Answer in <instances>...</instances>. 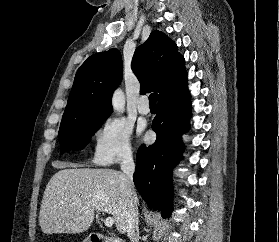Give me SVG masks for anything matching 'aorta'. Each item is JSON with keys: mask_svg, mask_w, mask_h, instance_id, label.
I'll return each mask as SVG.
<instances>
[{"mask_svg": "<svg viewBox=\"0 0 279 242\" xmlns=\"http://www.w3.org/2000/svg\"><path fill=\"white\" fill-rule=\"evenodd\" d=\"M112 105L113 109L116 112L122 113L125 108V96L122 90L118 89L114 92L113 98H112Z\"/></svg>", "mask_w": 279, "mask_h": 242, "instance_id": "obj_1", "label": "aorta"}]
</instances>
